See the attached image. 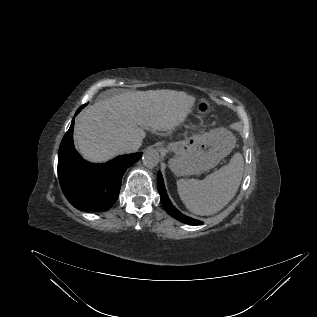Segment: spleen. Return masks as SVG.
Segmentation results:
<instances>
[{
	"mask_svg": "<svg viewBox=\"0 0 317 317\" xmlns=\"http://www.w3.org/2000/svg\"><path fill=\"white\" fill-rule=\"evenodd\" d=\"M244 160L236 153L230 162L203 180L179 179L178 194L187 209L197 215H211L224 208L240 186Z\"/></svg>",
	"mask_w": 317,
	"mask_h": 317,
	"instance_id": "3e777b00",
	"label": "spleen"
}]
</instances>
